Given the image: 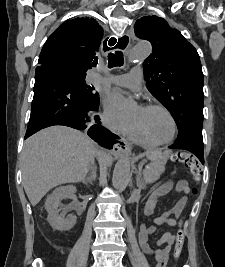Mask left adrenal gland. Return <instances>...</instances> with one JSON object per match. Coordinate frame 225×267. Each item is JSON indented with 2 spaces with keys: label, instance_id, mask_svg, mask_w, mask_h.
<instances>
[{
  "label": "left adrenal gland",
  "instance_id": "left-adrenal-gland-1",
  "mask_svg": "<svg viewBox=\"0 0 225 267\" xmlns=\"http://www.w3.org/2000/svg\"><path fill=\"white\" fill-rule=\"evenodd\" d=\"M137 187L138 188H143V184H142V179H141V172H137Z\"/></svg>",
  "mask_w": 225,
  "mask_h": 267
}]
</instances>
